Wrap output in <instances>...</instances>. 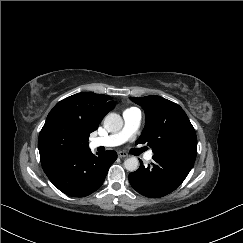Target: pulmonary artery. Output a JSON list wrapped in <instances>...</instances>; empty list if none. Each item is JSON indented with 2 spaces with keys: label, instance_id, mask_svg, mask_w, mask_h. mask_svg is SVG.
<instances>
[{
  "label": "pulmonary artery",
  "instance_id": "1",
  "mask_svg": "<svg viewBox=\"0 0 243 243\" xmlns=\"http://www.w3.org/2000/svg\"><path fill=\"white\" fill-rule=\"evenodd\" d=\"M142 119L141 110L137 107H130L123 111L124 126L121 131L104 137H97L90 141V147H115L127 141L140 127ZM152 151L145 155L146 160H151Z\"/></svg>",
  "mask_w": 243,
  "mask_h": 243
}]
</instances>
